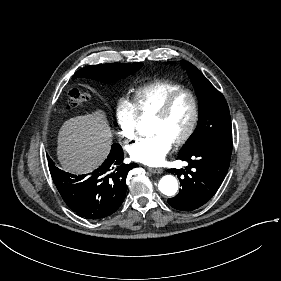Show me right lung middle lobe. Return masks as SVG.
<instances>
[{"instance_id":"1","label":"right lung middle lobe","mask_w":281,"mask_h":281,"mask_svg":"<svg viewBox=\"0 0 281 281\" xmlns=\"http://www.w3.org/2000/svg\"><path fill=\"white\" fill-rule=\"evenodd\" d=\"M143 66V63L122 64L111 63L103 65L87 66L77 71L73 79L87 77L101 82H114L125 78L136 72Z\"/></svg>"}]
</instances>
